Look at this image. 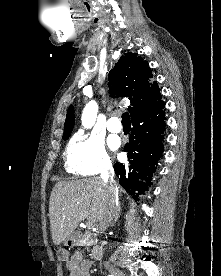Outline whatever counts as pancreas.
<instances>
[{
	"label": "pancreas",
	"instance_id": "pancreas-1",
	"mask_svg": "<svg viewBox=\"0 0 221 276\" xmlns=\"http://www.w3.org/2000/svg\"><path fill=\"white\" fill-rule=\"evenodd\" d=\"M81 244L86 247L93 246L97 244V239L90 231H85V233L81 236L80 241L78 242V245Z\"/></svg>",
	"mask_w": 221,
	"mask_h": 276
}]
</instances>
